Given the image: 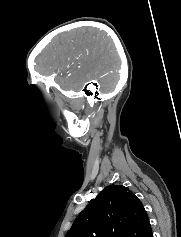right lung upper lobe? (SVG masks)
<instances>
[{
    "mask_svg": "<svg viewBox=\"0 0 181 237\" xmlns=\"http://www.w3.org/2000/svg\"><path fill=\"white\" fill-rule=\"evenodd\" d=\"M151 233L137 196L123 185H109L78 215L65 237H148Z\"/></svg>",
    "mask_w": 181,
    "mask_h": 237,
    "instance_id": "1",
    "label": "right lung upper lobe"
}]
</instances>
